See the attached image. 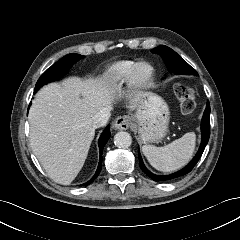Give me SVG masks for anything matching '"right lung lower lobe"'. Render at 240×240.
I'll use <instances>...</instances> for the list:
<instances>
[{"mask_svg":"<svg viewBox=\"0 0 240 240\" xmlns=\"http://www.w3.org/2000/svg\"><path fill=\"white\" fill-rule=\"evenodd\" d=\"M110 138V126H107L106 129L104 130V132L102 133L101 137L99 138V150H100V159H99V164H98V168L96 173L94 174V176L90 179V181H88L85 184H82V186L85 185H89L91 182H93L99 175L100 171H101V163H102V151L103 148L106 144V142L108 141V139Z\"/></svg>","mask_w":240,"mask_h":240,"instance_id":"1","label":"right lung lower lobe"}]
</instances>
